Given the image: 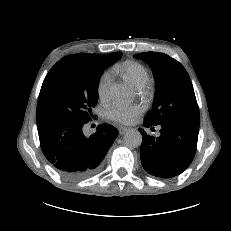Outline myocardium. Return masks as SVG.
<instances>
[{"instance_id": "myocardium-1", "label": "myocardium", "mask_w": 231, "mask_h": 231, "mask_svg": "<svg viewBox=\"0 0 231 231\" xmlns=\"http://www.w3.org/2000/svg\"><path fill=\"white\" fill-rule=\"evenodd\" d=\"M148 88H149V87H148V83H147L143 88H141V90H142L143 92H145Z\"/></svg>"}]
</instances>
